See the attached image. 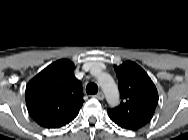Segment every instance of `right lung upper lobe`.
<instances>
[{
  "label": "right lung upper lobe",
  "mask_w": 188,
  "mask_h": 140,
  "mask_svg": "<svg viewBox=\"0 0 188 140\" xmlns=\"http://www.w3.org/2000/svg\"><path fill=\"white\" fill-rule=\"evenodd\" d=\"M74 64L58 60L35 76L26 87L31 117L42 127L58 128L71 122L84 102L81 82L73 74Z\"/></svg>",
  "instance_id": "cb5924a9"
}]
</instances>
